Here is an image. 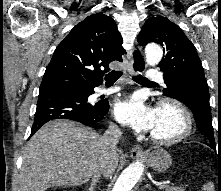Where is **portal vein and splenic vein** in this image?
<instances>
[{
    "label": "portal vein and splenic vein",
    "mask_w": 221,
    "mask_h": 191,
    "mask_svg": "<svg viewBox=\"0 0 221 191\" xmlns=\"http://www.w3.org/2000/svg\"><path fill=\"white\" fill-rule=\"evenodd\" d=\"M168 183H169L168 181H163V182L158 183V185L160 186V188H164L167 186Z\"/></svg>",
    "instance_id": "1"
}]
</instances>
